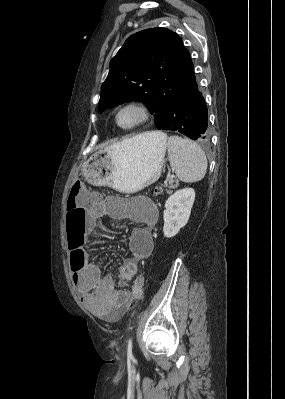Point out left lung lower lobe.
I'll return each instance as SVG.
<instances>
[{"label": "left lung lower lobe", "instance_id": "left-lung-lower-lobe-1", "mask_svg": "<svg viewBox=\"0 0 285 399\" xmlns=\"http://www.w3.org/2000/svg\"><path fill=\"white\" fill-rule=\"evenodd\" d=\"M161 130L178 131L192 140L209 138L207 107L195 74L174 94Z\"/></svg>", "mask_w": 285, "mask_h": 399}]
</instances>
